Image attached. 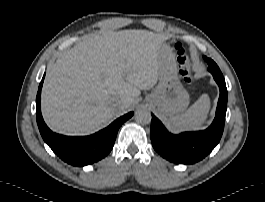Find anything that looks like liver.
I'll return each mask as SVG.
<instances>
[{
    "label": "liver",
    "instance_id": "obj_1",
    "mask_svg": "<svg viewBox=\"0 0 265 202\" xmlns=\"http://www.w3.org/2000/svg\"><path fill=\"white\" fill-rule=\"evenodd\" d=\"M166 36L147 30L100 31L85 35L47 72L42 115L51 130L94 133L126 110L159 80L160 45ZM120 97L118 106L113 99Z\"/></svg>",
    "mask_w": 265,
    "mask_h": 202
}]
</instances>
